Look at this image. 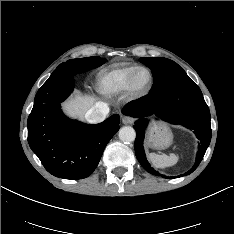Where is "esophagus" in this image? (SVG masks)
I'll use <instances>...</instances> for the list:
<instances>
[{
    "label": "esophagus",
    "instance_id": "esophagus-1",
    "mask_svg": "<svg viewBox=\"0 0 234 234\" xmlns=\"http://www.w3.org/2000/svg\"><path fill=\"white\" fill-rule=\"evenodd\" d=\"M134 118L131 116H122V123L123 124H132L134 122Z\"/></svg>",
    "mask_w": 234,
    "mask_h": 234
}]
</instances>
